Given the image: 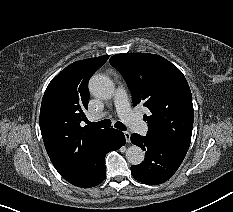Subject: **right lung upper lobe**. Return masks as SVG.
Wrapping results in <instances>:
<instances>
[{
    "label": "right lung upper lobe",
    "mask_w": 233,
    "mask_h": 212,
    "mask_svg": "<svg viewBox=\"0 0 233 212\" xmlns=\"http://www.w3.org/2000/svg\"><path fill=\"white\" fill-rule=\"evenodd\" d=\"M109 55L76 61L49 83L41 104L40 129L45 148L64 179L83 171L106 129L81 127L89 102L88 81Z\"/></svg>",
    "instance_id": "cb5924a9"
}]
</instances>
